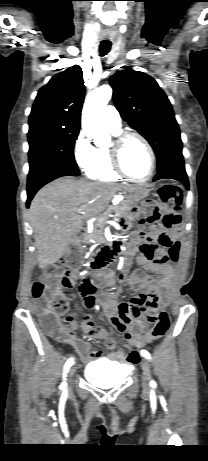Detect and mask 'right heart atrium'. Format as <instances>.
I'll list each match as a JSON object with an SVG mask.
<instances>
[{
  "label": "right heart atrium",
  "mask_w": 208,
  "mask_h": 461,
  "mask_svg": "<svg viewBox=\"0 0 208 461\" xmlns=\"http://www.w3.org/2000/svg\"><path fill=\"white\" fill-rule=\"evenodd\" d=\"M93 153L94 147L88 137L83 131L79 132L73 146V156L78 167L86 169L93 158Z\"/></svg>",
  "instance_id": "right-heart-atrium-1"
}]
</instances>
